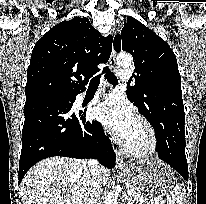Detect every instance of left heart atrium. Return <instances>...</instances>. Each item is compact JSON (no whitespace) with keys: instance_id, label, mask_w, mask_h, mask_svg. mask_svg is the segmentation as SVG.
I'll return each instance as SVG.
<instances>
[{"instance_id":"obj_1","label":"left heart atrium","mask_w":206,"mask_h":204,"mask_svg":"<svg viewBox=\"0 0 206 204\" xmlns=\"http://www.w3.org/2000/svg\"><path fill=\"white\" fill-rule=\"evenodd\" d=\"M97 119L121 139L126 140L137 122L134 107L120 94H112L95 110Z\"/></svg>"}]
</instances>
